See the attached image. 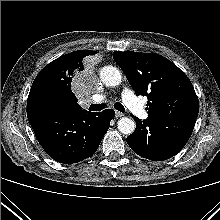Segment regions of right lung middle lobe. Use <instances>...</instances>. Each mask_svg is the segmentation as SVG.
I'll return each instance as SVG.
<instances>
[{
	"label": "right lung middle lobe",
	"mask_w": 220,
	"mask_h": 220,
	"mask_svg": "<svg viewBox=\"0 0 220 220\" xmlns=\"http://www.w3.org/2000/svg\"><path fill=\"white\" fill-rule=\"evenodd\" d=\"M37 104L49 105L52 107H64L62 100L58 96L49 92L39 94L37 97Z\"/></svg>",
	"instance_id": "dd1d6c3e"
}]
</instances>
